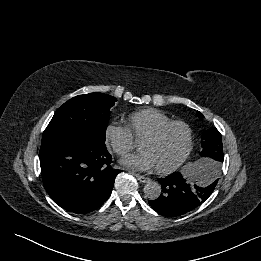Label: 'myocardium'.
Returning <instances> with one entry per match:
<instances>
[{
    "label": "myocardium",
    "mask_w": 261,
    "mask_h": 261,
    "mask_svg": "<svg viewBox=\"0 0 261 261\" xmlns=\"http://www.w3.org/2000/svg\"><path fill=\"white\" fill-rule=\"evenodd\" d=\"M174 126H181L183 127L187 132V145L183 152V154L180 156L178 160H176L174 163L167 167L163 168H156V172L160 174H169L173 171L177 170L184 162L189 158L194 144V135L192 127L185 121L182 120H171L163 125H161L159 128H157L152 133L146 135L142 140H150V141H156L160 139L170 128Z\"/></svg>",
    "instance_id": "f54148a6"
}]
</instances>
